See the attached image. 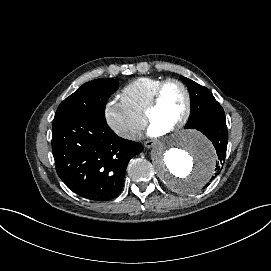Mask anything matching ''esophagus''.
Returning <instances> with one entry per match:
<instances>
[{"label":"esophagus","mask_w":271,"mask_h":271,"mask_svg":"<svg viewBox=\"0 0 271 271\" xmlns=\"http://www.w3.org/2000/svg\"><path fill=\"white\" fill-rule=\"evenodd\" d=\"M155 143H156V141H155L154 139H152V140H147V141L144 142V146H145L146 148H151Z\"/></svg>","instance_id":"34e87169"}]
</instances>
